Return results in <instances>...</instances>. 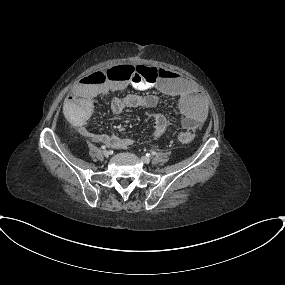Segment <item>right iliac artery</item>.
<instances>
[{
    "instance_id": "1",
    "label": "right iliac artery",
    "mask_w": 285,
    "mask_h": 285,
    "mask_svg": "<svg viewBox=\"0 0 285 285\" xmlns=\"http://www.w3.org/2000/svg\"><path fill=\"white\" fill-rule=\"evenodd\" d=\"M100 148L103 149V150H105V149H106V146H105V145H102Z\"/></svg>"
}]
</instances>
